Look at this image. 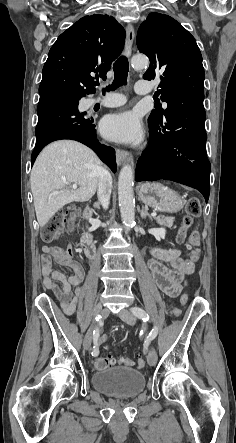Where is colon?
<instances>
[{
    "label": "colon",
    "mask_w": 236,
    "mask_h": 443,
    "mask_svg": "<svg viewBox=\"0 0 236 443\" xmlns=\"http://www.w3.org/2000/svg\"><path fill=\"white\" fill-rule=\"evenodd\" d=\"M201 213V204L197 198H189L186 204V215L183 218L181 228L179 230V241H183L186 237L188 240L189 257L192 261L197 262L200 259V234L197 231H192L187 236L188 229L192 226L194 218L198 217ZM68 216L67 211H61L56 213L50 218L41 228V238L45 242H51L55 240L63 229V226ZM171 315L175 318L180 316V310L177 308L172 309ZM115 360L107 356H98L93 360V366L96 369H106L114 364ZM120 363L124 366H131L133 360L130 357H122ZM139 368L146 367L145 358H140L138 361Z\"/></svg>",
    "instance_id": "colon-1"
}]
</instances>
